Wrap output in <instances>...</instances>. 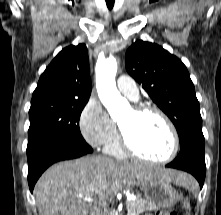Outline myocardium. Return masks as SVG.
<instances>
[{"instance_id": "obj_1", "label": "myocardium", "mask_w": 221, "mask_h": 215, "mask_svg": "<svg viewBox=\"0 0 221 215\" xmlns=\"http://www.w3.org/2000/svg\"><path fill=\"white\" fill-rule=\"evenodd\" d=\"M132 110L137 115H142V114H146V113H154V114L158 115L163 120V122L165 123L166 127L168 128V130L170 132V135L172 138V148H171V151L168 154V156H166L163 159L155 160V159L148 158V157L142 155L141 153H139L133 147V145L131 144V142L128 138L127 133L125 132L123 127L119 124L118 125L119 139H120V144H121L123 151L127 155H129L133 158L142 160L144 162L152 163V164L162 165V164H166V163L171 162L178 154L180 140H179L178 132H177L174 124L170 120V118L166 115V113L164 111H162L160 108L153 106V105L141 104V105L135 106Z\"/></svg>"}]
</instances>
